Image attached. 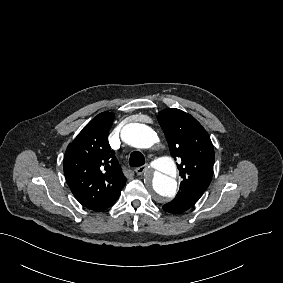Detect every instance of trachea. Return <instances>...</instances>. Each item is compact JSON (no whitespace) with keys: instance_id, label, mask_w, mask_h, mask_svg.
Returning <instances> with one entry per match:
<instances>
[{"instance_id":"obj_1","label":"trachea","mask_w":283,"mask_h":283,"mask_svg":"<svg viewBox=\"0 0 283 283\" xmlns=\"http://www.w3.org/2000/svg\"><path fill=\"white\" fill-rule=\"evenodd\" d=\"M145 164V158L139 151H134L129 157V165L131 167H140Z\"/></svg>"}]
</instances>
